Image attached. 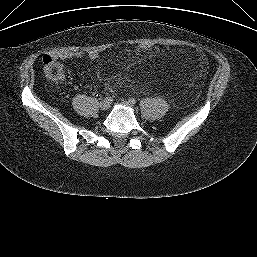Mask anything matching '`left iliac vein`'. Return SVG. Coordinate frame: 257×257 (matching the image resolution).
Wrapping results in <instances>:
<instances>
[{
    "label": "left iliac vein",
    "instance_id": "4c4485c4",
    "mask_svg": "<svg viewBox=\"0 0 257 257\" xmlns=\"http://www.w3.org/2000/svg\"><path fill=\"white\" fill-rule=\"evenodd\" d=\"M121 104L126 107H133V105L129 101H122Z\"/></svg>",
    "mask_w": 257,
    "mask_h": 257
}]
</instances>
